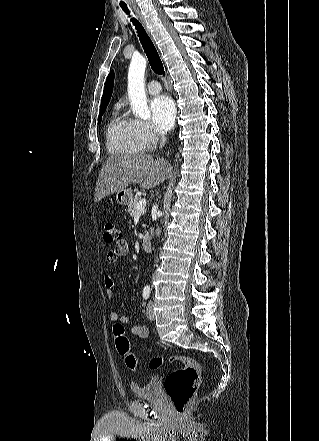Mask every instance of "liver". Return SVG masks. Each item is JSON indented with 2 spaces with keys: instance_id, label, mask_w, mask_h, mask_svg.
Masks as SVG:
<instances>
[{
  "instance_id": "1",
  "label": "liver",
  "mask_w": 319,
  "mask_h": 441,
  "mask_svg": "<svg viewBox=\"0 0 319 441\" xmlns=\"http://www.w3.org/2000/svg\"><path fill=\"white\" fill-rule=\"evenodd\" d=\"M170 171L164 159L154 161L151 155H117L103 164L95 188V201L125 189L132 183L153 188L165 180Z\"/></svg>"
}]
</instances>
